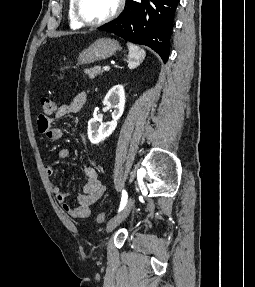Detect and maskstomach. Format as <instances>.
<instances>
[{
	"instance_id": "0dacf381",
	"label": "stomach",
	"mask_w": 255,
	"mask_h": 287,
	"mask_svg": "<svg viewBox=\"0 0 255 287\" xmlns=\"http://www.w3.org/2000/svg\"><path fill=\"white\" fill-rule=\"evenodd\" d=\"M117 50H120V46L116 40L98 38L86 50L80 52L77 58L78 64H92V62H98V60H106V58L114 56Z\"/></svg>"
}]
</instances>
